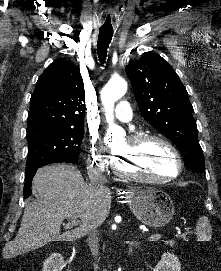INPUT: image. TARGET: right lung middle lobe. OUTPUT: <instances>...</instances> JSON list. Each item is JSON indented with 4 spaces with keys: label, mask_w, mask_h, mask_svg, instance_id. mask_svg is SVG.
Returning <instances> with one entry per match:
<instances>
[{
    "label": "right lung middle lobe",
    "mask_w": 221,
    "mask_h": 271,
    "mask_svg": "<svg viewBox=\"0 0 221 271\" xmlns=\"http://www.w3.org/2000/svg\"><path fill=\"white\" fill-rule=\"evenodd\" d=\"M84 130L37 127L27 130L28 157L26 169L50 163H74L79 155Z\"/></svg>",
    "instance_id": "dd1d6c3e"
}]
</instances>
